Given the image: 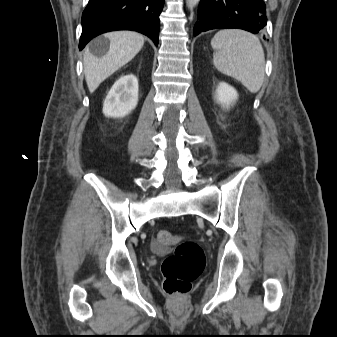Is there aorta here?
<instances>
[{"instance_id":"762f6f07","label":"aorta","mask_w":337,"mask_h":337,"mask_svg":"<svg viewBox=\"0 0 337 337\" xmlns=\"http://www.w3.org/2000/svg\"><path fill=\"white\" fill-rule=\"evenodd\" d=\"M199 1L200 0H186L187 7L191 9L195 7L199 3Z\"/></svg>"}]
</instances>
